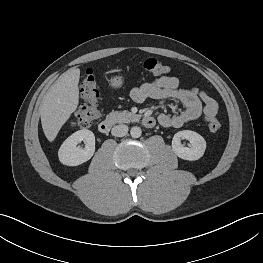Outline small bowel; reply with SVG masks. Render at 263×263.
<instances>
[{
	"mask_svg": "<svg viewBox=\"0 0 263 263\" xmlns=\"http://www.w3.org/2000/svg\"><path fill=\"white\" fill-rule=\"evenodd\" d=\"M130 96L136 103L148 98L156 100L175 99L183 109L175 115L160 114L158 122L166 128H181L197 120L201 115L210 120L217 115L218 105L207 93L197 87L180 88L179 80L173 76H162L131 90Z\"/></svg>",
	"mask_w": 263,
	"mask_h": 263,
	"instance_id": "small-bowel-1",
	"label": "small bowel"
}]
</instances>
